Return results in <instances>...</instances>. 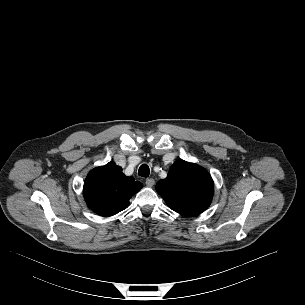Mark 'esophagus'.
<instances>
[{
  "instance_id": "1",
  "label": "esophagus",
  "mask_w": 305,
  "mask_h": 305,
  "mask_svg": "<svg viewBox=\"0 0 305 305\" xmlns=\"http://www.w3.org/2000/svg\"><path fill=\"white\" fill-rule=\"evenodd\" d=\"M145 183L148 187H152L155 184V180L153 178H147Z\"/></svg>"
}]
</instances>
